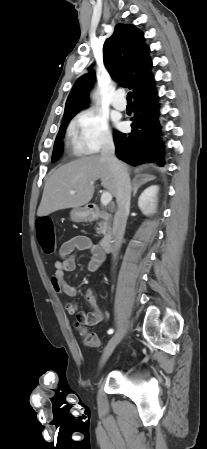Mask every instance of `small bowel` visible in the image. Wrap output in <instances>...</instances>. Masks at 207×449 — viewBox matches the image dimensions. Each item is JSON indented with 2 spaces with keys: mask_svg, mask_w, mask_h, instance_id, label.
Returning a JSON list of instances; mask_svg holds the SVG:
<instances>
[{
  "mask_svg": "<svg viewBox=\"0 0 207 449\" xmlns=\"http://www.w3.org/2000/svg\"><path fill=\"white\" fill-rule=\"evenodd\" d=\"M85 251L89 254L87 269L90 272H96L105 261L104 251L94 244L87 236L79 235L64 242L59 250L61 259L54 262L55 272L52 278V286L56 292L67 297H74L77 294V288L66 281V273L76 268V252ZM85 298L91 306L89 313H80L79 318L87 325H96L104 322L108 315L98 306V296L93 289H88ZM66 310L69 314H77V304L74 302L66 303Z\"/></svg>",
  "mask_w": 207,
  "mask_h": 449,
  "instance_id": "c3829d8e",
  "label": "small bowel"
}]
</instances>
